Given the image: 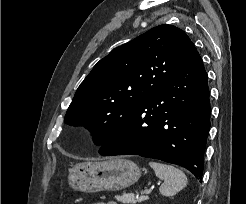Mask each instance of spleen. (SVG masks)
I'll use <instances>...</instances> for the list:
<instances>
[{
	"instance_id": "3e777b00",
	"label": "spleen",
	"mask_w": 246,
	"mask_h": 204,
	"mask_svg": "<svg viewBox=\"0 0 246 204\" xmlns=\"http://www.w3.org/2000/svg\"><path fill=\"white\" fill-rule=\"evenodd\" d=\"M149 166L154 170L156 176L163 180L159 188L162 195L173 196L187 186L186 175L173 165L150 161Z\"/></svg>"
}]
</instances>
